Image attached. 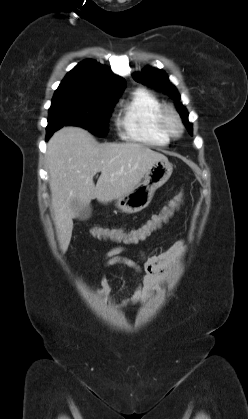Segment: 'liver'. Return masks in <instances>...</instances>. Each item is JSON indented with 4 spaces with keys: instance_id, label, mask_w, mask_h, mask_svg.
Wrapping results in <instances>:
<instances>
[{
    "instance_id": "6515ba94",
    "label": "liver",
    "mask_w": 248,
    "mask_h": 419,
    "mask_svg": "<svg viewBox=\"0 0 248 419\" xmlns=\"http://www.w3.org/2000/svg\"><path fill=\"white\" fill-rule=\"evenodd\" d=\"M163 154L138 143L99 144L79 127H64L47 144L51 202L60 249L70 244L73 218L91 200L107 203L137 186ZM101 175L95 185L93 177ZM77 202L79 209L72 206Z\"/></svg>"
}]
</instances>
